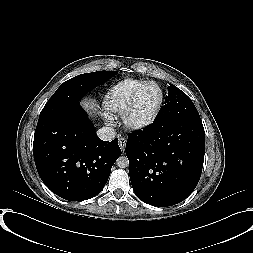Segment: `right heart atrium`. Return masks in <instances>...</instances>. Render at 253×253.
Returning a JSON list of instances; mask_svg holds the SVG:
<instances>
[{
    "instance_id": "right-heart-atrium-1",
    "label": "right heart atrium",
    "mask_w": 253,
    "mask_h": 253,
    "mask_svg": "<svg viewBox=\"0 0 253 253\" xmlns=\"http://www.w3.org/2000/svg\"><path fill=\"white\" fill-rule=\"evenodd\" d=\"M105 119L109 123L112 122V117L110 115H108V114H105Z\"/></svg>"
}]
</instances>
